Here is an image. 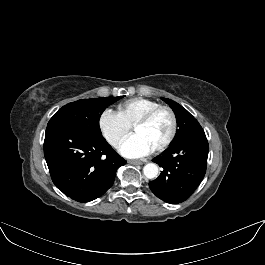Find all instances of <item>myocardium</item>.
<instances>
[{"label":"myocardium","mask_w":265,"mask_h":265,"mask_svg":"<svg viewBox=\"0 0 265 265\" xmlns=\"http://www.w3.org/2000/svg\"><path fill=\"white\" fill-rule=\"evenodd\" d=\"M160 112H166L170 116L171 128H170V132H169L167 138L158 147H156L155 149L152 150L153 153H160V152L164 151L173 142V140L177 134V129H178V121H177V116H176L175 112L170 107L160 105L156 108L149 110L145 114H143L133 124V129H135V127H137L139 125H144V124L148 123L155 115H157Z\"/></svg>","instance_id":"f54148a6"}]
</instances>
